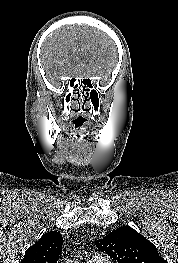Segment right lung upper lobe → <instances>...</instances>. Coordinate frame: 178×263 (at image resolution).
Here are the masks:
<instances>
[{"label":"right lung upper lobe","instance_id":"right-lung-upper-lobe-1","mask_svg":"<svg viewBox=\"0 0 178 263\" xmlns=\"http://www.w3.org/2000/svg\"><path fill=\"white\" fill-rule=\"evenodd\" d=\"M62 244L63 238L59 232H47L27 249L20 263H57Z\"/></svg>","mask_w":178,"mask_h":263}]
</instances>
